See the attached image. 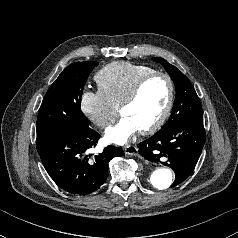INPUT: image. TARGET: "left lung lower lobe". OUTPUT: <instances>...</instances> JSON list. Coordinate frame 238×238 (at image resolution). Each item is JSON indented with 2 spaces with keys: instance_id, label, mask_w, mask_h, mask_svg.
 I'll return each mask as SVG.
<instances>
[{
  "instance_id": "0a47b994",
  "label": "left lung lower lobe",
  "mask_w": 238,
  "mask_h": 238,
  "mask_svg": "<svg viewBox=\"0 0 238 238\" xmlns=\"http://www.w3.org/2000/svg\"><path fill=\"white\" fill-rule=\"evenodd\" d=\"M204 143L203 120H188L160 129L138 147L145 159L172 168L175 181L170 187L173 188L193 172Z\"/></svg>"
}]
</instances>
